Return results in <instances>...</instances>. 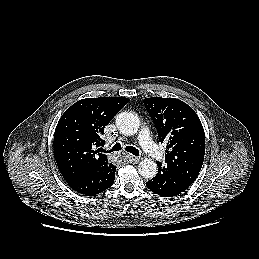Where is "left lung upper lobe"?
<instances>
[{
    "label": "left lung upper lobe",
    "mask_w": 259,
    "mask_h": 259,
    "mask_svg": "<svg viewBox=\"0 0 259 259\" xmlns=\"http://www.w3.org/2000/svg\"><path fill=\"white\" fill-rule=\"evenodd\" d=\"M158 132L166 142L165 166L191 183L204 161L205 134L195 111L176 98L152 97L143 100Z\"/></svg>",
    "instance_id": "5c2ea615"
}]
</instances>
